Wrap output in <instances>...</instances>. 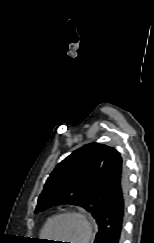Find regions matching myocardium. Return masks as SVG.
<instances>
[{
  "instance_id": "obj_1",
  "label": "myocardium",
  "mask_w": 154,
  "mask_h": 243,
  "mask_svg": "<svg viewBox=\"0 0 154 243\" xmlns=\"http://www.w3.org/2000/svg\"><path fill=\"white\" fill-rule=\"evenodd\" d=\"M61 217H75V218L79 219L82 222L83 228H84V233H83L80 243H88V241L91 237V234H92L91 224L83 213L78 212V211H72V210L59 212V213L53 215L48 220L46 227H45V236L46 237L50 236V229H51V226L54 223V221Z\"/></svg>"
}]
</instances>
